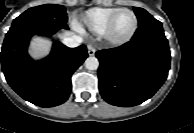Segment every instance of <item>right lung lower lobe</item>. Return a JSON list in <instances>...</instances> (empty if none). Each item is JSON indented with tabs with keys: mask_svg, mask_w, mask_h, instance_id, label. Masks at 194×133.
I'll return each instance as SVG.
<instances>
[{
	"mask_svg": "<svg viewBox=\"0 0 194 133\" xmlns=\"http://www.w3.org/2000/svg\"><path fill=\"white\" fill-rule=\"evenodd\" d=\"M67 29L57 19L26 20L12 24L2 45V71L13 90L23 99L41 107L64 103L71 92V76L88 57L85 45L68 48L54 42L50 55L35 62L28 53L30 38Z\"/></svg>",
	"mask_w": 194,
	"mask_h": 133,
	"instance_id": "obj_1",
	"label": "right lung lower lobe"
}]
</instances>
